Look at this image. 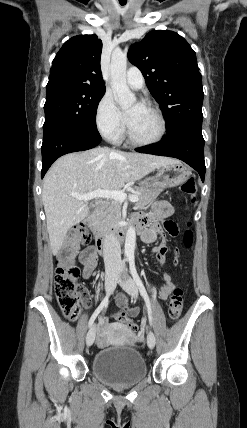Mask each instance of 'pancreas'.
Wrapping results in <instances>:
<instances>
[{
    "label": "pancreas",
    "instance_id": "cf45deb5",
    "mask_svg": "<svg viewBox=\"0 0 247 428\" xmlns=\"http://www.w3.org/2000/svg\"><path fill=\"white\" fill-rule=\"evenodd\" d=\"M162 192L159 188H150L146 186H136L132 191L133 195H137L139 200L136 202L137 208H145L149 203L154 201ZM122 216V204L119 201L109 202L105 209L97 218V229L106 230L116 224Z\"/></svg>",
    "mask_w": 247,
    "mask_h": 428
}]
</instances>
